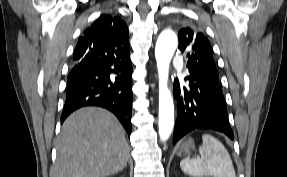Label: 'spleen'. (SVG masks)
<instances>
[{
  "label": "spleen",
  "mask_w": 287,
  "mask_h": 177,
  "mask_svg": "<svg viewBox=\"0 0 287 177\" xmlns=\"http://www.w3.org/2000/svg\"><path fill=\"white\" fill-rule=\"evenodd\" d=\"M199 148L201 158H186L180 162L181 170L193 177H236L231 157L224 145L215 137L202 136Z\"/></svg>",
  "instance_id": "spleen-1"
}]
</instances>
